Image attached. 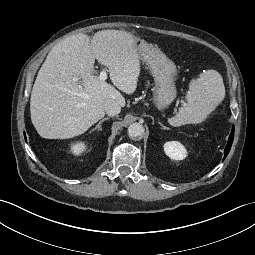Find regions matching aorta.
I'll list each match as a JSON object with an SVG mask.
<instances>
[{"label": "aorta", "mask_w": 255, "mask_h": 255, "mask_svg": "<svg viewBox=\"0 0 255 255\" xmlns=\"http://www.w3.org/2000/svg\"><path fill=\"white\" fill-rule=\"evenodd\" d=\"M144 132L145 129L140 123H133L128 127V135L130 138H139L144 134Z\"/></svg>", "instance_id": "aorta-1"}]
</instances>
